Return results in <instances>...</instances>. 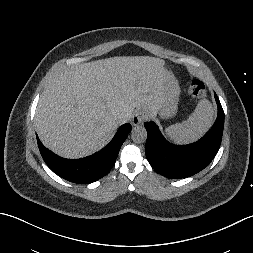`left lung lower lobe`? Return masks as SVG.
Returning a JSON list of instances; mask_svg holds the SVG:
<instances>
[{
  "instance_id": "left-lung-lower-lobe-1",
  "label": "left lung lower lobe",
  "mask_w": 253,
  "mask_h": 253,
  "mask_svg": "<svg viewBox=\"0 0 253 253\" xmlns=\"http://www.w3.org/2000/svg\"><path fill=\"white\" fill-rule=\"evenodd\" d=\"M214 96L218 107L217 119L209 132L196 143L171 144L154 122L144 124L148 133L145 152L156 172L167 178L179 179L192 176L210 164L219 150L224 127V111L216 93Z\"/></svg>"
}]
</instances>
